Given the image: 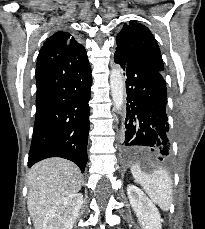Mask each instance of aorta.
Here are the masks:
<instances>
[{
	"label": "aorta",
	"mask_w": 205,
	"mask_h": 229,
	"mask_svg": "<svg viewBox=\"0 0 205 229\" xmlns=\"http://www.w3.org/2000/svg\"><path fill=\"white\" fill-rule=\"evenodd\" d=\"M111 96L116 111H120L124 102L125 82L122 71L119 67H114L110 74Z\"/></svg>",
	"instance_id": "762f6f07"
}]
</instances>
